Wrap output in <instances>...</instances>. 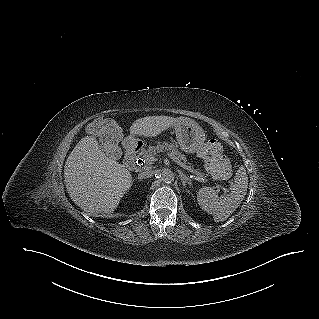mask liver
I'll use <instances>...</instances> for the list:
<instances>
[{
  "label": "liver",
  "instance_id": "liver-1",
  "mask_svg": "<svg viewBox=\"0 0 319 319\" xmlns=\"http://www.w3.org/2000/svg\"><path fill=\"white\" fill-rule=\"evenodd\" d=\"M178 119L149 116L136 120L132 135L156 137ZM64 182L72 201L89 214H110L131 187L132 175L114 158L107 157L94 136H85L74 147L64 166Z\"/></svg>",
  "mask_w": 319,
  "mask_h": 319
}]
</instances>
